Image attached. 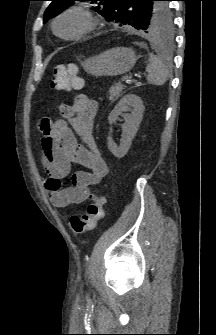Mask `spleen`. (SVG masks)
Here are the masks:
<instances>
[{"mask_svg": "<svg viewBox=\"0 0 216 335\" xmlns=\"http://www.w3.org/2000/svg\"><path fill=\"white\" fill-rule=\"evenodd\" d=\"M147 81L153 85H163L169 78L170 70L160 56L150 54L149 63L146 66Z\"/></svg>", "mask_w": 216, "mask_h": 335, "instance_id": "3e777b00", "label": "spleen"}]
</instances>
